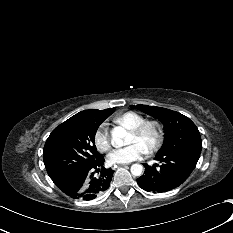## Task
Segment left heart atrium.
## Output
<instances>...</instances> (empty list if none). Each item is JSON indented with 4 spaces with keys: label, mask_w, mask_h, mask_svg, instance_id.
<instances>
[{
    "label": "left heart atrium",
    "mask_w": 233,
    "mask_h": 233,
    "mask_svg": "<svg viewBox=\"0 0 233 233\" xmlns=\"http://www.w3.org/2000/svg\"><path fill=\"white\" fill-rule=\"evenodd\" d=\"M146 153L147 149L143 145L133 142L124 148L113 150L109 155V159L113 163L125 164L138 160Z\"/></svg>",
    "instance_id": "1"
}]
</instances>
